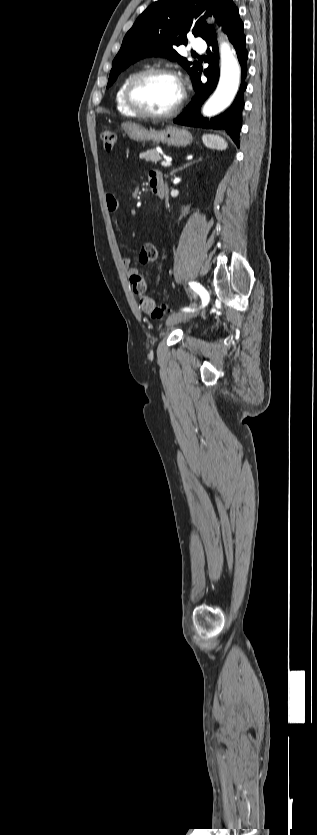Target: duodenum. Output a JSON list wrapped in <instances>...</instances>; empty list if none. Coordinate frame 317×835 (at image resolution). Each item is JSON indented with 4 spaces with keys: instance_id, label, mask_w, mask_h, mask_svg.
I'll return each mask as SVG.
<instances>
[{
    "instance_id": "obj_1",
    "label": "duodenum",
    "mask_w": 317,
    "mask_h": 835,
    "mask_svg": "<svg viewBox=\"0 0 317 835\" xmlns=\"http://www.w3.org/2000/svg\"><path fill=\"white\" fill-rule=\"evenodd\" d=\"M150 186H151L152 192H153V193H154L157 197H159V198H162V197H163V195H164V186H163L161 183H159V182H157V181H154V182H151V183H150Z\"/></svg>"
}]
</instances>
